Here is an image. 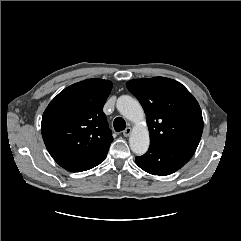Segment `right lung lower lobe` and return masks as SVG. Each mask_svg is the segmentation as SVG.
<instances>
[{"mask_svg": "<svg viewBox=\"0 0 241 241\" xmlns=\"http://www.w3.org/2000/svg\"><path fill=\"white\" fill-rule=\"evenodd\" d=\"M109 148L102 151L98 155L83 161L74 162L64 166L63 168L71 172H81L89 170L97 165H99L107 156Z\"/></svg>", "mask_w": 241, "mask_h": 241, "instance_id": "right-lung-lower-lobe-1", "label": "right lung lower lobe"}]
</instances>
